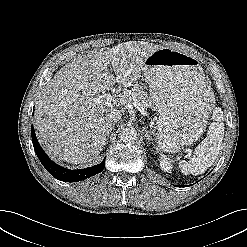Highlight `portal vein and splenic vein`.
Wrapping results in <instances>:
<instances>
[{
	"mask_svg": "<svg viewBox=\"0 0 247 247\" xmlns=\"http://www.w3.org/2000/svg\"><path fill=\"white\" fill-rule=\"evenodd\" d=\"M96 102L98 104H104L106 106H112L115 104V100H114V97L109 94V93H103L102 95L98 96L96 99ZM133 105L138 109V110H143V107L140 105V103L133 99ZM187 151L189 152L188 155L190 156L191 153H192V150L191 149H187Z\"/></svg>",
	"mask_w": 247,
	"mask_h": 247,
	"instance_id": "portal-vein-and-splenic-vein-1",
	"label": "portal vein and splenic vein"
}]
</instances>
